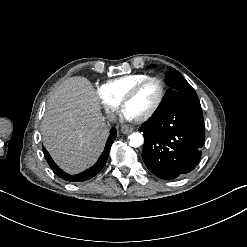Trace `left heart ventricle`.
Here are the masks:
<instances>
[{"instance_id": "b2bd125f", "label": "left heart ventricle", "mask_w": 247, "mask_h": 247, "mask_svg": "<svg viewBox=\"0 0 247 247\" xmlns=\"http://www.w3.org/2000/svg\"><path fill=\"white\" fill-rule=\"evenodd\" d=\"M159 95V84L154 81L147 82L140 88L136 97L127 103L124 108L130 110L139 119L154 108Z\"/></svg>"}]
</instances>
